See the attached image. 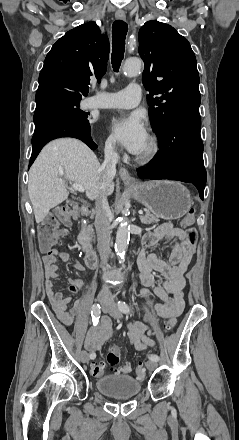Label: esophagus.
Instances as JSON below:
<instances>
[{"label": "esophagus", "instance_id": "obj_1", "mask_svg": "<svg viewBox=\"0 0 239 440\" xmlns=\"http://www.w3.org/2000/svg\"><path fill=\"white\" fill-rule=\"evenodd\" d=\"M115 18L117 20H125L126 16H125L124 11H117L115 13ZM119 175L124 183H130L133 185H137V181L135 180V178L130 176V174H129L128 170H126V168H119Z\"/></svg>", "mask_w": 239, "mask_h": 440}]
</instances>
